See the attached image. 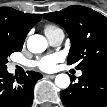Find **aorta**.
Masks as SVG:
<instances>
[{
  "mask_svg": "<svg viewBox=\"0 0 107 107\" xmlns=\"http://www.w3.org/2000/svg\"><path fill=\"white\" fill-rule=\"evenodd\" d=\"M48 46L47 39L39 34L32 35L27 40V48L32 53H42ZM56 85L61 89H66L70 85V77L67 74H58L55 78Z\"/></svg>",
  "mask_w": 107,
  "mask_h": 107,
  "instance_id": "1",
  "label": "aorta"
}]
</instances>
